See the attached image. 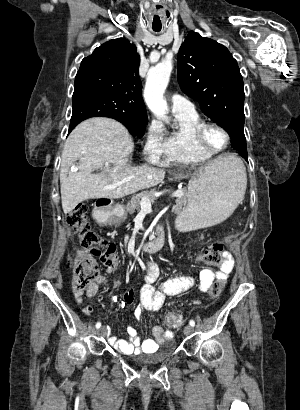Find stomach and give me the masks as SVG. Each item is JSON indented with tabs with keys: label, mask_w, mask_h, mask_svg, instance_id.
I'll use <instances>...</instances> for the list:
<instances>
[{
	"label": "stomach",
	"mask_w": 300,
	"mask_h": 410,
	"mask_svg": "<svg viewBox=\"0 0 300 410\" xmlns=\"http://www.w3.org/2000/svg\"><path fill=\"white\" fill-rule=\"evenodd\" d=\"M232 157L223 167L203 168L191 176L187 205L178 219L181 230L215 226L232 214L243 191L236 169L230 167ZM187 176L179 174L177 178ZM105 213L109 219H118L124 217L125 210L116 205Z\"/></svg>",
	"instance_id": "1"
}]
</instances>
